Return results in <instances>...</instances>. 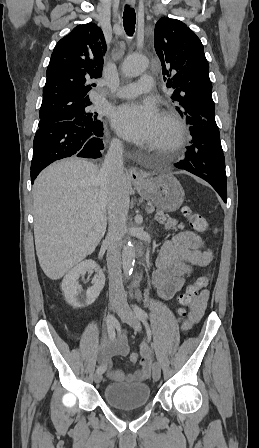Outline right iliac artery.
<instances>
[{
	"label": "right iliac artery",
	"mask_w": 259,
	"mask_h": 448,
	"mask_svg": "<svg viewBox=\"0 0 259 448\" xmlns=\"http://www.w3.org/2000/svg\"><path fill=\"white\" fill-rule=\"evenodd\" d=\"M117 320L115 319V317L111 314H109L107 316L106 319V323H107V333L108 336L110 338V340H114L115 339V325H116ZM106 371V366L105 365H101L97 368V372L99 373H104Z\"/></svg>",
	"instance_id": "right-iliac-artery-1"
}]
</instances>
